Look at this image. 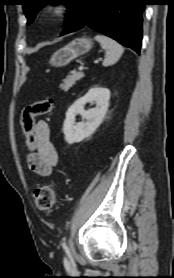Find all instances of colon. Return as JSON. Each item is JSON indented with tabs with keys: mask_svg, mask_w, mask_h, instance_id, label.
I'll use <instances>...</instances> for the list:
<instances>
[{
	"mask_svg": "<svg viewBox=\"0 0 174 278\" xmlns=\"http://www.w3.org/2000/svg\"><path fill=\"white\" fill-rule=\"evenodd\" d=\"M53 106L51 99H44L33 102L24 107L21 113V125L24 133V144L29 154L35 152L38 145V138L35 131V119L38 116L48 114ZM36 206L45 212L53 209L55 204V193L48 185H39L34 190Z\"/></svg>",
	"mask_w": 174,
	"mask_h": 278,
	"instance_id": "obj_1",
	"label": "colon"
}]
</instances>
